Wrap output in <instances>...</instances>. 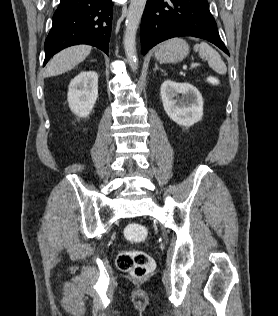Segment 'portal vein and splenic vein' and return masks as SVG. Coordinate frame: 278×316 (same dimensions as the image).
Masks as SVG:
<instances>
[{"label": "portal vein and splenic vein", "mask_w": 278, "mask_h": 316, "mask_svg": "<svg viewBox=\"0 0 278 316\" xmlns=\"http://www.w3.org/2000/svg\"><path fill=\"white\" fill-rule=\"evenodd\" d=\"M199 65H200L199 63H193V64H191V68L197 67Z\"/></svg>", "instance_id": "portal-vein-and-splenic-vein-1"}]
</instances>
